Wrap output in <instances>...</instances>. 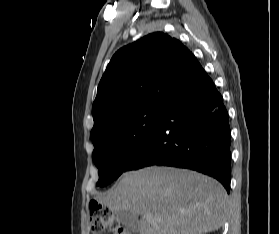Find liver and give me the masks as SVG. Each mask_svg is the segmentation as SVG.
I'll return each mask as SVG.
<instances>
[{"instance_id":"1","label":"liver","mask_w":279,"mask_h":234,"mask_svg":"<svg viewBox=\"0 0 279 234\" xmlns=\"http://www.w3.org/2000/svg\"><path fill=\"white\" fill-rule=\"evenodd\" d=\"M97 200L112 212L141 216L140 234H204L220 229L228 215V196L218 181L168 167L126 172Z\"/></svg>"}]
</instances>
